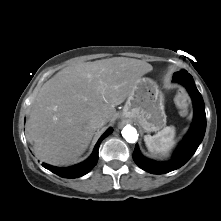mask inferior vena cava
Segmentation results:
<instances>
[{
	"mask_svg": "<svg viewBox=\"0 0 221 221\" xmlns=\"http://www.w3.org/2000/svg\"><path fill=\"white\" fill-rule=\"evenodd\" d=\"M106 123V120L100 116L94 117L91 124L94 128H101Z\"/></svg>",
	"mask_w": 221,
	"mask_h": 221,
	"instance_id": "602c4592",
	"label": "inferior vena cava"
}]
</instances>
